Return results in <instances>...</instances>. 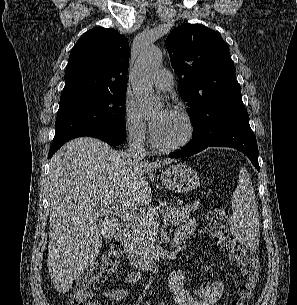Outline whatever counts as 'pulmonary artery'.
I'll return each mask as SVG.
<instances>
[{"instance_id":"1","label":"pulmonary artery","mask_w":297,"mask_h":305,"mask_svg":"<svg viewBox=\"0 0 297 305\" xmlns=\"http://www.w3.org/2000/svg\"><path fill=\"white\" fill-rule=\"evenodd\" d=\"M152 83L154 87L158 90H170L174 83L173 75L167 69H160L155 74Z\"/></svg>"}]
</instances>
